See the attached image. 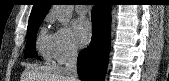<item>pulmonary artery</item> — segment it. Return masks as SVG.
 I'll list each match as a JSON object with an SVG mask.
<instances>
[{"label":"pulmonary artery","instance_id":"pulmonary-artery-1","mask_svg":"<svg viewBox=\"0 0 169 81\" xmlns=\"http://www.w3.org/2000/svg\"><path fill=\"white\" fill-rule=\"evenodd\" d=\"M78 12H79L80 14H85V13H86V8H85L84 6H79V7H78Z\"/></svg>","mask_w":169,"mask_h":81}]
</instances>
